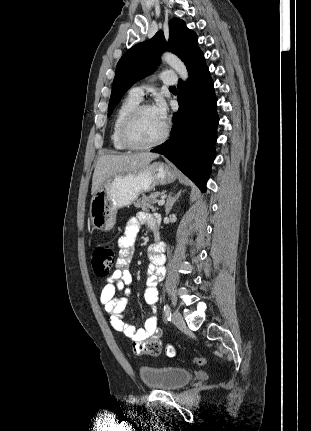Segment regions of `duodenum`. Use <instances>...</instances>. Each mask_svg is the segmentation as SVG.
Returning a JSON list of instances; mask_svg holds the SVG:
<instances>
[{
	"label": "duodenum",
	"mask_w": 311,
	"mask_h": 431,
	"mask_svg": "<svg viewBox=\"0 0 311 431\" xmlns=\"http://www.w3.org/2000/svg\"><path fill=\"white\" fill-rule=\"evenodd\" d=\"M154 237H155V240H156V241H158V240H159V234H158L157 232H155V233H154ZM157 243H158V242H157Z\"/></svg>",
	"instance_id": "1"
}]
</instances>
